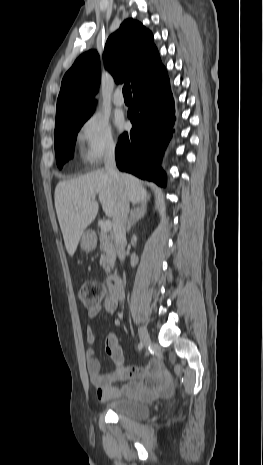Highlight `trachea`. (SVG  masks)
<instances>
[{"label": "trachea", "mask_w": 263, "mask_h": 465, "mask_svg": "<svg viewBox=\"0 0 263 465\" xmlns=\"http://www.w3.org/2000/svg\"><path fill=\"white\" fill-rule=\"evenodd\" d=\"M123 95L124 96H132V93H131V87L129 84L125 85L123 87Z\"/></svg>", "instance_id": "obj_1"}]
</instances>
